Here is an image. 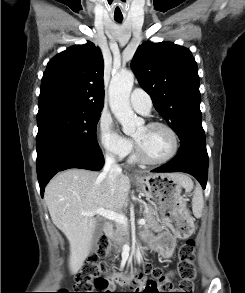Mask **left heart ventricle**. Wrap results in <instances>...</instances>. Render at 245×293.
<instances>
[{
	"mask_svg": "<svg viewBox=\"0 0 245 293\" xmlns=\"http://www.w3.org/2000/svg\"><path fill=\"white\" fill-rule=\"evenodd\" d=\"M134 137L142 153L152 160L166 157L172 149L171 135L163 128L141 126Z\"/></svg>",
	"mask_w": 245,
	"mask_h": 293,
	"instance_id": "left-heart-ventricle-1",
	"label": "left heart ventricle"
}]
</instances>
